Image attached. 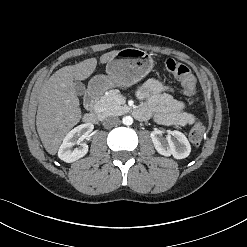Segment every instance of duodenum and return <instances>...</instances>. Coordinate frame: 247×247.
<instances>
[{
    "label": "duodenum",
    "mask_w": 247,
    "mask_h": 247,
    "mask_svg": "<svg viewBox=\"0 0 247 247\" xmlns=\"http://www.w3.org/2000/svg\"><path fill=\"white\" fill-rule=\"evenodd\" d=\"M101 94V88L98 85L92 86L85 95V105L88 109L84 115L83 120L89 124H96L98 122V113L95 109L96 102Z\"/></svg>",
    "instance_id": "obj_1"
}]
</instances>
